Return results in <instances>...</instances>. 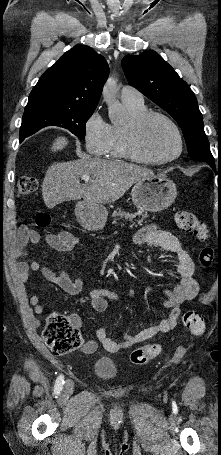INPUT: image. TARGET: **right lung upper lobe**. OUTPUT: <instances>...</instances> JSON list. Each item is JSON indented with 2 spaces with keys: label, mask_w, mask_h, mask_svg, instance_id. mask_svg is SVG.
I'll list each match as a JSON object with an SVG mask.
<instances>
[{
  "label": "right lung upper lobe",
  "mask_w": 221,
  "mask_h": 455,
  "mask_svg": "<svg viewBox=\"0 0 221 455\" xmlns=\"http://www.w3.org/2000/svg\"><path fill=\"white\" fill-rule=\"evenodd\" d=\"M108 74L102 55L89 46H75L40 77L27 105L96 109Z\"/></svg>",
  "instance_id": "right-lung-upper-lobe-1"
}]
</instances>
